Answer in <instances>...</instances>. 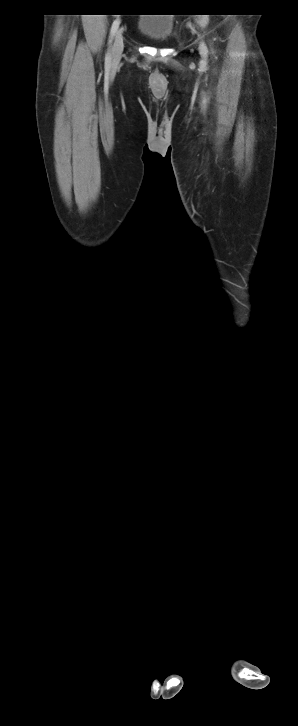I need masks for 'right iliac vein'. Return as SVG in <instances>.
<instances>
[{"instance_id":"obj_1","label":"right iliac vein","mask_w":298,"mask_h":726,"mask_svg":"<svg viewBox=\"0 0 298 726\" xmlns=\"http://www.w3.org/2000/svg\"><path fill=\"white\" fill-rule=\"evenodd\" d=\"M123 33L121 30H119L116 33L113 48H112V59L113 61H119L123 52Z\"/></svg>"}]
</instances>
